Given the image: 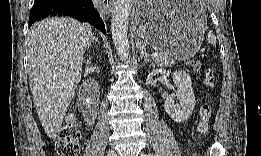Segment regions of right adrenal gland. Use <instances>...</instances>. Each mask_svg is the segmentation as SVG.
Segmentation results:
<instances>
[{
  "label": "right adrenal gland",
  "instance_id": "right-adrenal-gland-1",
  "mask_svg": "<svg viewBox=\"0 0 261 156\" xmlns=\"http://www.w3.org/2000/svg\"><path fill=\"white\" fill-rule=\"evenodd\" d=\"M94 41H95L96 43H99L98 37H93V38H92V41L89 43L88 48L91 47V45H92V43H93Z\"/></svg>",
  "mask_w": 261,
  "mask_h": 156
}]
</instances>
